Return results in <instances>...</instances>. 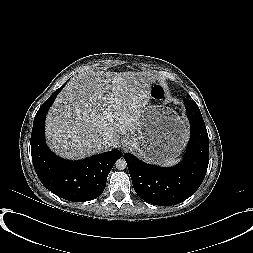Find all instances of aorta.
<instances>
[{"label":"aorta","instance_id":"aorta-1","mask_svg":"<svg viewBox=\"0 0 253 253\" xmlns=\"http://www.w3.org/2000/svg\"><path fill=\"white\" fill-rule=\"evenodd\" d=\"M115 166L118 170H124L127 167V162L124 158H120L116 161Z\"/></svg>","mask_w":253,"mask_h":253}]
</instances>
